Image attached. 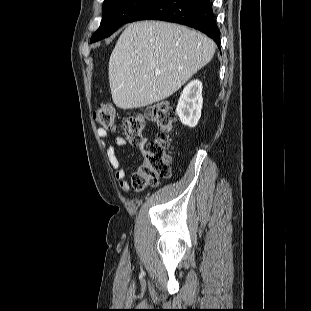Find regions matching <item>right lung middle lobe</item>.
Returning a JSON list of instances; mask_svg holds the SVG:
<instances>
[{"label": "right lung middle lobe", "mask_w": 311, "mask_h": 311, "mask_svg": "<svg viewBox=\"0 0 311 311\" xmlns=\"http://www.w3.org/2000/svg\"><path fill=\"white\" fill-rule=\"evenodd\" d=\"M153 0H105L103 17L99 29L92 35L90 43L110 36L140 9Z\"/></svg>", "instance_id": "dd1d6c3e"}]
</instances>
